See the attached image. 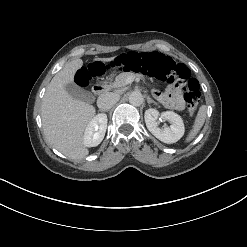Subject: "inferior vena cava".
Instances as JSON below:
<instances>
[{
  "label": "inferior vena cava",
  "mask_w": 247,
  "mask_h": 247,
  "mask_svg": "<svg viewBox=\"0 0 247 247\" xmlns=\"http://www.w3.org/2000/svg\"><path fill=\"white\" fill-rule=\"evenodd\" d=\"M120 97L115 93H106L99 97L97 106L101 110H108L119 101Z\"/></svg>",
  "instance_id": "1"
}]
</instances>
